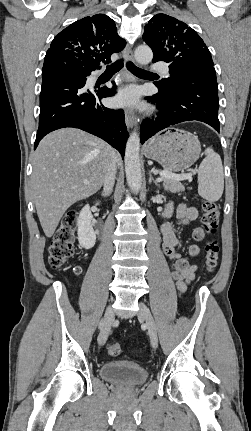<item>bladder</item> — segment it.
<instances>
[{
  "label": "bladder",
  "mask_w": 251,
  "mask_h": 431,
  "mask_svg": "<svg viewBox=\"0 0 251 431\" xmlns=\"http://www.w3.org/2000/svg\"><path fill=\"white\" fill-rule=\"evenodd\" d=\"M99 374L102 379L123 388L139 386L149 377V372L144 367L127 360L107 362L100 367Z\"/></svg>",
  "instance_id": "31cf9c89"
}]
</instances>
